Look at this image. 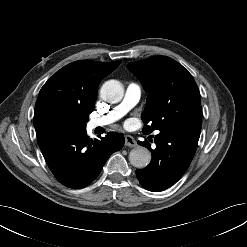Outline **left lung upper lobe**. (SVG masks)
I'll return each mask as SVG.
<instances>
[{
	"label": "left lung upper lobe",
	"mask_w": 247,
	"mask_h": 247,
	"mask_svg": "<svg viewBox=\"0 0 247 247\" xmlns=\"http://www.w3.org/2000/svg\"><path fill=\"white\" fill-rule=\"evenodd\" d=\"M128 69L148 92L141 119L144 134L173 124L201 130L200 92L192 75L180 63L166 56L132 62Z\"/></svg>",
	"instance_id": "left-lung-upper-lobe-1"
}]
</instances>
